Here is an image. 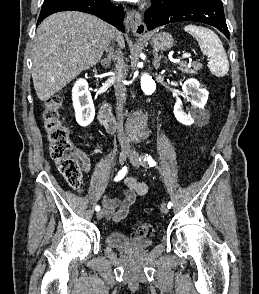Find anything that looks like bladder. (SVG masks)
Wrapping results in <instances>:
<instances>
[{
    "mask_svg": "<svg viewBox=\"0 0 259 294\" xmlns=\"http://www.w3.org/2000/svg\"><path fill=\"white\" fill-rule=\"evenodd\" d=\"M105 241L109 246L129 253L144 251L152 245L149 239L131 237L120 232L107 234Z\"/></svg>",
    "mask_w": 259,
    "mask_h": 294,
    "instance_id": "bladder-1",
    "label": "bladder"
}]
</instances>
